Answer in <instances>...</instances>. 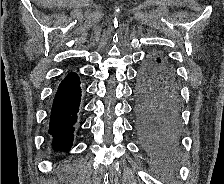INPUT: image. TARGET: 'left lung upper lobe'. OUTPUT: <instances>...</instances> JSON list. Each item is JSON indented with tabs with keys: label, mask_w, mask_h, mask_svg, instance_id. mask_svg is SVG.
I'll return each mask as SVG.
<instances>
[{
	"label": "left lung upper lobe",
	"mask_w": 224,
	"mask_h": 184,
	"mask_svg": "<svg viewBox=\"0 0 224 184\" xmlns=\"http://www.w3.org/2000/svg\"><path fill=\"white\" fill-rule=\"evenodd\" d=\"M151 57H155V58H160L162 60L161 62V66L169 71L174 72V68L172 66V64L165 58H162L161 56H151Z\"/></svg>",
	"instance_id": "left-lung-upper-lobe-1"
}]
</instances>
